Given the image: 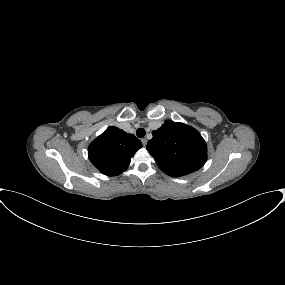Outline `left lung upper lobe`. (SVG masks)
<instances>
[{
	"mask_svg": "<svg viewBox=\"0 0 285 285\" xmlns=\"http://www.w3.org/2000/svg\"><path fill=\"white\" fill-rule=\"evenodd\" d=\"M146 149L167 175L179 177L200 169L207 160V146L194 128L167 120L152 132Z\"/></svg>",
	"mask_w": 285,
	"mask_h": 285,
	"instance_id": "5c2ea615",
	"label": "left lung upper lobe"
}]
</instances>
